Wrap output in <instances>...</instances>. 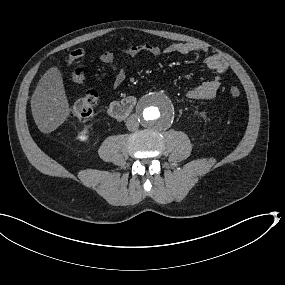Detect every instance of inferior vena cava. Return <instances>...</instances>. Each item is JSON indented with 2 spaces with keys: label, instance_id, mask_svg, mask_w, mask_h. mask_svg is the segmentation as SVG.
Here are the masks:
<instances>
[{
  "label": "inferior vena cava",
  "instance_id": "inferior-vena-cava-1",
  "mask_svg": "<svg viewBox=\"0 0 285 285\" xmlns=\"http://www.w3.org/2000/svg\"><path fill=\"white\" fill-rule=\"evenodd\" d=\"M127 129L130 131H136L139 128V121L137 115H130L126 122Z\"/></svg>",
  "mask_w": 285,
  "mask_h": 285
}]
</instances>
